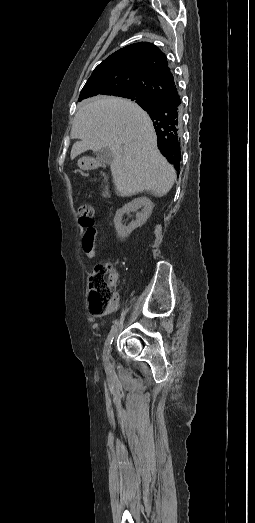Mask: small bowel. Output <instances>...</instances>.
<instances>
[{
  "label": "small bowel",
  "instance_id": "c3829d8e",
  "mask_svg": "<svg viewBox=\"0 0 255 523\" xmlns=\"http://www.w3.org/2000/svg\"><path fill=\"white\" fill-rule=\"evenodd\" d=\"M98 231L93 224L87 225V228L83 235L82 250L86 257L93 259L96 256L95 247L97 240ZM119 275L116 273V279L118 280Z\"/></svg>",
  "mask_w": 255,
  "mask_h": 523
}]
</instances>
